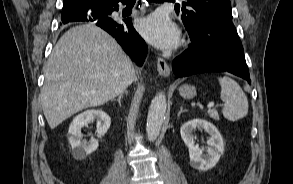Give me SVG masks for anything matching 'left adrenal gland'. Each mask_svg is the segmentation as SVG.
<instances>
[{
	"mask_svg": "<svg viewBox=\"0 0 293 184\" xmlns=\"http://www.w3.org/2000/svg\"><path fill=\"white\" fill-rule=\"evenodd\" d=\"M186 109H183V106L180 107V111L178 112V117L181 115V113L186 112Z\"/></svg>",
	"mask_w": 293,
	"mask_h": 184,
	"instance_id": "a2214340",
	"label": "left adrenal gland"
}]
</instances>
